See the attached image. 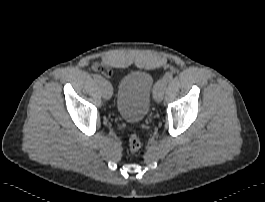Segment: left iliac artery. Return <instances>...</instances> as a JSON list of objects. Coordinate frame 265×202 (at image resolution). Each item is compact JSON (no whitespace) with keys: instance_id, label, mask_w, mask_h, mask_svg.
<instances>
[{"instance_id":"1","label":"left iliac artery","mask_w":265,"mask_h":202,"mask_svg":"<svg viewBox=\"0 0 265 202\" xmlns=\"http://www.w3.org/2000/svg\"><path fill=\"white\" fill-rule=\"evenodd\" d=\"M172 78H173V74L172 73H166L165 75H164V79L167 81V82H170L171 80H172ZM158 84V83H157ZM156 84V85H157Z\"/></svg>"}]
</instances>
